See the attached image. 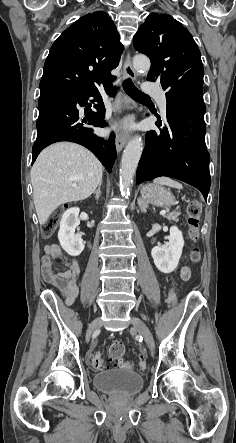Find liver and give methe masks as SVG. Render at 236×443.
Listing matches in <instances>:
<instances>
[{"mask_svg":"<svg viewBox=\"0 0 236 443\" xmlns=\"http://www.w3.org/2000/svg\"><path fill=\"white\" fill-rule=\"evenodd\" d=\"M102 175V164L83 146L59 142L44 149L31 169L40 225L61 204L88 198L101 183Z\"/></svg>","mask_w":236,"mask_h":443,"instance_id":"liver-1","label":"liver"}]
</instances>
